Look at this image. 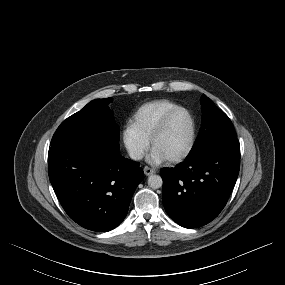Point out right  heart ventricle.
Returning <instances> with one entry per match:
<instances>
[{
  "mask_svg": "<svg viewBox=\"0 0 285 285\" xmlns=\"http://www.w3.org/2000/svg\"><path fill=\"white\" fill-rule=\"evenodd\" d=\"M178 106L177 103L167 99L147 102L135 111L131 125L143 138L149 141L164 115Z\"/></svg>",
  "mask_w": 285,
  "mask_h": 285,
  "instance_id": "1",
  "label": "right heart ventricle"
}]
</instances>
